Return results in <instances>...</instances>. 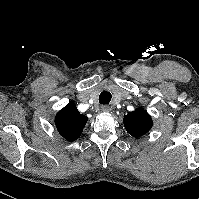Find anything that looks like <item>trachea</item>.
Returning <instances> with one entry per match:
<instances>
[{"mask_svg": "<svg viewBox=\"0 0 199 199\" xmlns=\"http://www.w3.org/2000/svg\"><path fill=\"white\" fill-rule=\"evenodd\" d=\"M112 95L108 91H103L99 95V103L100 104H108L111 101Z\"/></svg>", "mask_w": 199, "mask_h": 199, "instance_id": "trachea-1", "label": "trachea"}]
</instances>
